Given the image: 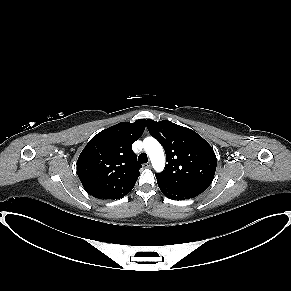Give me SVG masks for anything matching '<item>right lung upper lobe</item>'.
Here are the masks:
<instances>
[{
    "label": "right lung upper lobe",
    "instance_id": "1",
    "mask_svg": "<svg viewBox=\"0 0 291 291\" xmlns=\"http://www.w3.org/2000/svg\"><path fill=\"white\" fill-rule=\"evenodd\" d=\"M145 119L121 122L95 135L77 161V174L84 189L99 199H120L134 187L141 165L132 143L144 132Z\"/></svg>",
    "mask_w": 291,
    "mask_h": 291
}]
</instances>
